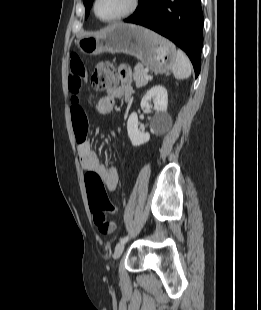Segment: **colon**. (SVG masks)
I'll use <instances>...</instances> for the list:
<instances>
[{
    "mask_svg": "<svg viewBox=\"0 0 261 310\" xmlns=\"http://www.w3.org/2000/svg\"><path fill=\"white\" fill-rule=\"evenodd\" d=\"M90 82L91 86L97 91L117 85V77L113 65L108 61L98 62ZM85 183L95 225L98 227L100 233L104 235L113 233L116 224L107 219L105 212H116L117 207L109 200L102 178L98 173L88 171L85 174Z\"/></svg>",
    "mask_w": 261,
    "mask_h": 310,
    "instance_id": "colon-1",
    "label": "colon"
}]
</instances>
